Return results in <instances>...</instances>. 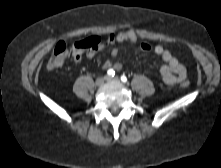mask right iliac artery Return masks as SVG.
<instances>
[{
    "instance_id": "right-iliac-artery-1",
    "label": "right iliac artery",
    "mask_w": 221,
    "mask_h": 168,
    "mask_svg": "<svg viewBox=\"0 0 221 168\" xmlns=\"http://www.w3.org/2000/svg\"><path fill=\"white\" fill-rule=\"evenodd\" d=\"M108 76L113 77L115 75V71L113 69H109L107 71Z\"/></svg>"
}]
</instances>
